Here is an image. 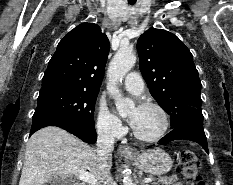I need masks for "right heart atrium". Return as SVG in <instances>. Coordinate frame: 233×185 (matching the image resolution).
<instances>
[{"instance_id":"1","label":"right heart atrium","mask_w":233,"mask_h":185,"mask_svg":"<svg viewBox=\"0 0 233 185\" xmlns=\"http://www.w3.org/2000/svg\"><path fill=\"white\" fill-rule=\"evenodd\" d=\"M95 127L99 135L107 138H120L126 131L121 121L104 104L97 106Z\"/></svg>"}]
</instances>
